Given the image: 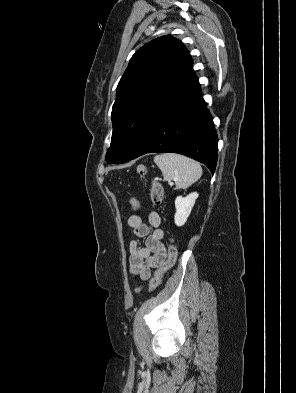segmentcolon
Masks as SVG:
<instances>
[{
    "mask_svg": "<svg viewBox=\"0 0 296 393\" xmlns=\"http://www.w3.org/2000/svg\"><path fill=\"white\" fill-rule=\"evenodd\" d=\"M138 173L140 176L144 177L149 173V167L146 165H140L138 167ZM163 196H164V191L161 183L157 179L152 180V188H151V201L155 206L161 205L163 201ZM131 205L134 209L138 210L141 208L140 202L133 198L131 199ZM177 256V249L175 245L171 242L168 245V248L166 250V256L162 263L160 264L159 268L155 272L154 276L152 277L150 284H149V290L152 292L156 290V288L161 284L162 279L166 272L173 266L175 259Z\"/></svg>",
    "mask_w": 296,
    "mask_h": 393,
    "instance_id": "5ec220e1",
    "label": "colon"
}]
</instances>
